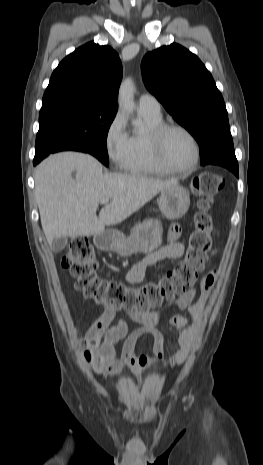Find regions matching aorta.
<instances>
[{
    "label": "aorta",
    "mask_w": 263,
    "mask_h": 465,
    "mask_svg": "<svg viewBox=\"0 0 263 465\" xmlns=\"http://www.w3.org/2000/svg\"><path fill=\"white\" fill-rule=\"evenodd\" d=\"M134 90L135 85L131 78H127L122 81L119 89L118 103L121 108L129 113H133L134 110ZM134 126H139L140 121L132 120Z\"/></svg>",
    "instance_id": "aorta-1"
}]
</instances>
